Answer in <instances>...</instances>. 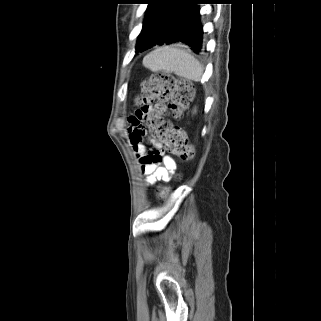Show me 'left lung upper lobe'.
<instances>
[{
	"label": "left lung upper lobe",
	"instance_id": "obj_1",
	"mask_svg": "<svg viewBox=\"0 0 321 321\" xmlns=\"http://www.w3.org/2000/svg\"><path fill=\"white\" fill-rule=\"evenodd\" d=\"M145 2L148 7L137 42V52L149 49L163 38L168 20L179 0H145Z\"/></svg>",
	"mask_w": 321,
	"mask_h": 321
}]
</instances>
